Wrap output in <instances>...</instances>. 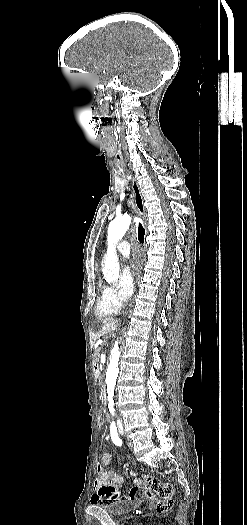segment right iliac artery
I'll list each match as a JSON object with an SVG mask.
<instances>
[{
	"label": "right iliac artery",
	"instance_id": "obj_1",
	"mask_svg": "<svg viewBox=\"0 0 247 525\" xmlns=\"http://www.w3.org/2000/svg\"><path fill=\"white\" fill-rule=\"evenodd\" d=\"M110 433H111V439L112 441L114 442L115 445L117 446H121L122 445V441L118 435V432H117V428L115 426V424H111L110 426Z\"/></svg>",
	"mask_w": 247,
	"mask_h": 525
}]
</instances>
